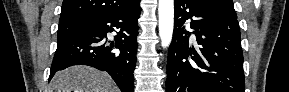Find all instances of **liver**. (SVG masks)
<instances>
[{
    "mask_svg": "<svg viewBox=\"0 0 289 92\" xmlns=\"http://www.w3.org/2000/svg\"><path fill=\"white\" fill-rule=\"evenodd\" d=\"M50 88L53 92H118L106 72L82 65L57 72Z\"/></svg>",
    "mask_w": 289,
    "mask_h": 92,
    "instance_id": "6515ba94",
    "label": "liver"
}]
</instances>
